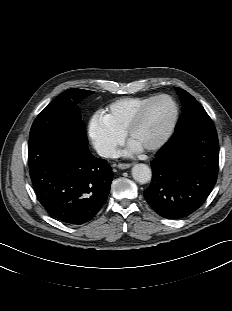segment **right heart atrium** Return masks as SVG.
Returning a JSON list of instances; mask_svg holds the SVG:
<instances>
[{
  "label": "right heart atrium",
  "instance_id": "1",
  "mask_svg": "<svg viewBox=\"0 0 232 311\" xmlns=\"http://www.w3.org/2000/svg\"><path fill=\"white\" fill-rule=\"evenodd\" d=\"M87 133L96 152L105 158L113 157L123 142V135L116 132L100 113L90 118Z\"/></svg>",
  "mask_w": 232,
  "mask_h": 311
}]
</instances>
